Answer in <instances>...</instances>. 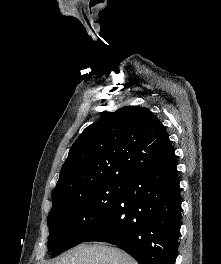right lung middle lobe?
<instances>
[{
	"mask_svg": "<svg viewBox=\"0 0 221 264\" xmlns=\"http://www.w3.org/2000/svg\"><path fill=\"white\" fill-rule=\"evenodd\" d=\"M125 187L110 182L75 193L50 211L47 223L52 258L80 244L111 212Z\"/></svg>",
	"mask_w": 221,
	"mask_h": 264,
	"instance_id": "1",
	"label": "right lung middle lobe"
}]
</instances>
